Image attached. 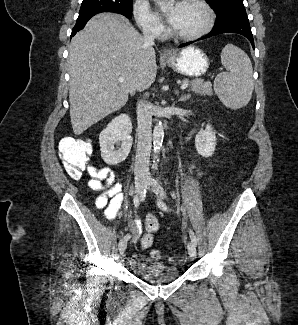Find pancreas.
<instances>
[{"mask_svg":"<svg viewBox=\"0 0 298 325\" xmlns=\"http://www.w3.org/2000/svg\"><path fill=\"white\" fill-rule=\"evenodd\" d=\"M182 82L183 84H185V82H190L189 90H192V92H195V94H201V96H205V94L212 96V94H214L212 82L190 80V78H183Z\"/></svg>","mask_w":298,"mask_h":325,"instance_id":"1","label":"pancreas"}]
</instances>
